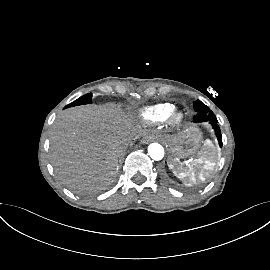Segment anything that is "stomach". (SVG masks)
<instances>
[{"label": "stomach", "mask_w": 270, "mask_h": 270, "mask_svg": "<svg viewBox=\"0 0 270 270\" xmlns=\"http://www.w3.org/2000/svg\"><path fill=\"white\" fill-rule=\"evenodd\" d=\"M170 156L168 166L179 177L185 170L186 159L195 154L201 143V132L196 127H186L165 140Z\"/></svg>", "instance_id": "0dacf381"}]
</instances>
